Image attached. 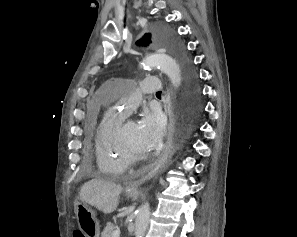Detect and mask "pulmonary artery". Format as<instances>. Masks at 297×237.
<instances>
[{"label":"pulmonary artery","instance_id":"obj_1","mask_svg":"<svg viewBox=\"0 0 297 237\" xmlns=\"http://www.w3.org/2000/svg\"><path fill=\"white\" fill-rule=\"evenodd\" d=\"M161 86L156 77H145L139 85H125L119 89L120 98L117 102L121 108V114L127 115L132 108L138 106L142 96L149 95L160 90Z\"/></svg>","mask_w":297,"mask_h":237}]
</instances>
